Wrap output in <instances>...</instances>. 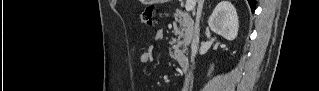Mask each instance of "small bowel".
I'll list each match as a JSON object with an SVG mask.
<instances>
[{"instance_id": "small-bowel-1", "label": "small bowel", "mask_w": 319, "mask_h": 91, "mask_svg": "<svg viewBox=\"0 0 319 91\" xmlns=\"http://www.w3.org/2000/svg\"><path fill=\"white\" fill-rule=\"evenodd\" d=\"M161 37L160 33L155 35V38L159 39ZM154 58V49L153 47L148 48L140 57L142 63H150Z\"/></svg>"}]
</instances>
